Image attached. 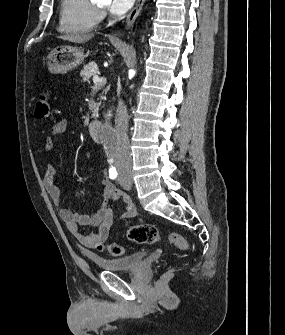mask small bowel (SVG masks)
Masks as SVG:
<instances>
[{
    "label": "small bowel",
    "instance_id": "obj_1",
    "mask_svg": "<svg viewBox=\"0 0 285 335\" xmlns=\"http://www.w3.org/2000/svg\"><path fill=\"white\" fill-rule=\"evenodd\" d=\"M67 128L68 122L65 119L59 120L51 127L44 146L47 152H51L54 149V139L65 133ZM56 170L57 166L49 163L43 173L42 182L53 204L57 207L60 218L65 222L68 231L81 246L94 248L97 243L104 242L107 239L115 218L111 202H122L123 211L119 219H130L136 216V207L131 198L111 183L107 173H104L102 179L104 186L103 203L94 213L81 215L63 207L60 191L53 180ZM84 226L98 227V231L96 233H86L81 229Z\"/></svg>",
    "mask_w": 285,
    "mask_h": 335
}]
</instances>
